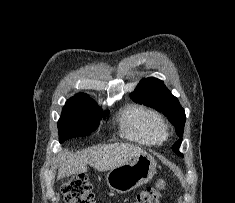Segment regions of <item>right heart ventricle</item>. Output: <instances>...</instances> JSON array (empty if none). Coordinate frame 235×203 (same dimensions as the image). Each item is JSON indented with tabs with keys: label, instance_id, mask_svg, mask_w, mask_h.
Masks as SVG:
<instances>
[{
	"label": "right heart ventricle",
	"instance_id": "obj_1",
	"mask_svg": "<svg viewBox=\"0 0 235 203\" xmlns=\"http://www.w3.org/2000/svg\"><path fill=\"white\" fill-rule=\"evenodd\" d=\"M124 135L140 144L159 145L167 138L165 123L155 110L143 105H131L122 113Z\"/></svg>",
	"mask_w": 235,
	"mask_h": 203
}]
</instances>
